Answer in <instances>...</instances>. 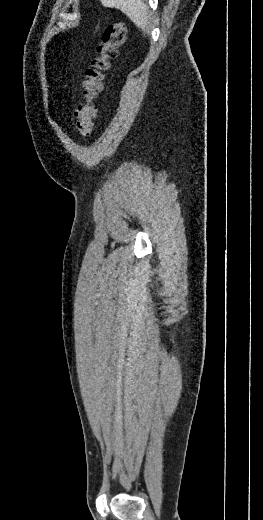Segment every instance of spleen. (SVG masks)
<instances>
[{"mask_svg":"<svg viewBox=\"0 0 263 520\" xmlns=\"http://www.w3.org/2000/svg\"><path fill=\"white\" fill-rule=\"evenodd\" d=\"M105 7L120 9L144 32H149V14L142 0H101Z\"/></svg>","mask_w":263,"mask_h":520,"instance_id":"3e777b00","label":"spleen"}]
</instances>
